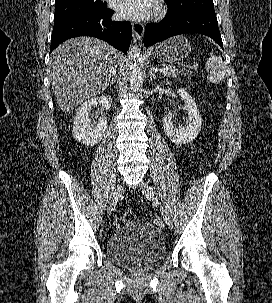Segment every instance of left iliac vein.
<instances>
[{"label":"left iliac vein","instance_id":"obj_1","mask_svg":"<svg viewBox=\"0 0 272 303\" xmlns=\"http://www.w3.org/2000/svg\"><path fill=\"white\" fill-rule=\"evenodd\" d=\"M141 190L142 193L149 198L150 200H152L154 203L159 204V200H158V195L155 192V190L147 183V182H142L141 184ZM162 215L164 218L165 223L167 224V226L172 229L173 228V223H172V219L171 216L169 214V212L162 207Z\"/></svg>","mask_w":272,"mask_h":303}]
</instances>
